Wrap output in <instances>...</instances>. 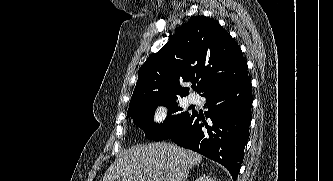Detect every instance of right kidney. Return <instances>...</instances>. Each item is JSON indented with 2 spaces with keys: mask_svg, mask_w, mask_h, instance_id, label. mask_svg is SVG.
Here are the masks:
<instances>
[{
  "mask_svg": "<svg viewBox=\"0 0 333 181\" xmlns=\"http://www.w3.org/2000/svg\"><path fill=\"white\" fill-rule=\"evenodd\" d=\"M196 181H214V180L211 177L204 175L196 179Z\"/></svg>",
  "mask_w": 333,
  "mask_h": 181,
  "instance_id": "right-kidney-1",
  "label": "right kidney"
}]
</instances>
